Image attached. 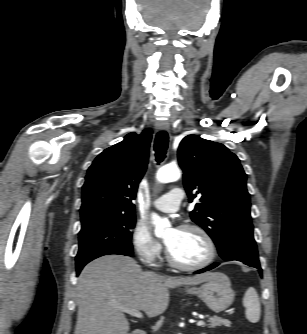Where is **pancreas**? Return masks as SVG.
I'll return each mask as SVG.
<instances>
[{
  "label": "pancreas",
  "instance_id": "cf45deb5",
  "mask_svg": "<svg viewBox=\"0 0 307 334\" xmlns=\"http://www.w3.org/2000/svg\"><path fill=\"white\" fill-rule=\"evenodd\" d=\"M208 318H209V324H207V326L210 328H215L217 326H225V327L231 326V321H229L228 319H224L218 316H208Z\"/></svg>",
  "mask_w": 307,
  "mask_h": 334
}]
</instances>
